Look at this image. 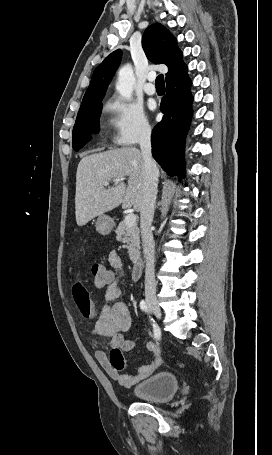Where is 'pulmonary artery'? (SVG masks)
<instances>
[{
    "label": "pulmonary artery",
    "instance_id": "pulmonary-artery-1",
    "mask_svg": "<svg viewBox=\"0 0 272 455\" xmlns=\"http://www.w3.org/2000/svg\"><path fill=\"white\" fill-rule=\"evenodd\" d=\"M154 79H155V76L150 74L147 78V82L144 85V91L148 95H154L156 93V88L153 84Z\"/></svg>",
    "mask_w": 272,
    "mask_h": 455
}]
</instances>
